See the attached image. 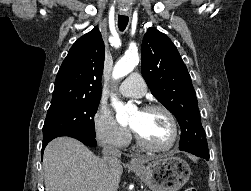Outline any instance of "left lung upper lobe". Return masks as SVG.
<instances>
[{"instance_id": "left-lung-upper-lobe-1", "label": "left lung upper lobe", "mask_w": 251, "mask_h": 191, "mask_svg": "<svg viewBox=\"0 0 251 191\" xmlns=\"http://www.w3.org/2000/svg\"><path fill=\"white\" fill-rule=\"evenodd\" d=\"M141 71L151 93L177 118L179 149L209 157L205 131L188 70L170 38L151 27L141 46Z\"/></svg>"}]
</instances>
